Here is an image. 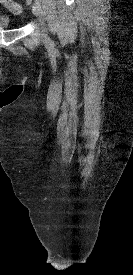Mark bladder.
<instances>
[{"label":"bladder","instance_id":"obj_1","mask_svg":"<svg viewBox=\"0 0 133 275\" xmlns=\"http://www.w3.org/2000/svg\"><path fill=\"white\" fill-rule=\"evenodd\" d=\"M12 21L9 16L0 14V29H8L12 27Z\"/></svg>","mask_w":133,"mask_h":275}]
</instances>
